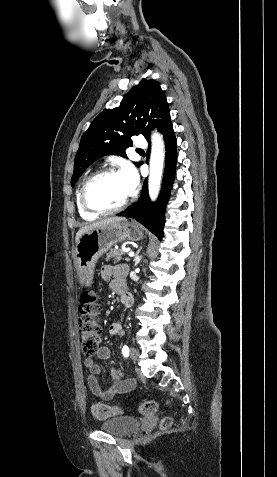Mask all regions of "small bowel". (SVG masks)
Returning <instances> with one entry per match:
<instances>
[{"instance_id":"c3829d8e","label":"small bowel","mask_w":277,"mask_h":477,"mask_svg":"<svg viewBox=\"0 0 277 477\" xmlns=\"http://www.w3.org/2000/svg\"><path fill=\"white\" fill-rule=\"evenodd\" d=\"M127 266L119 265H103L101 267V277L108 281L110 286L116 292L125 293V277L127 274ZM109 333L112 337H120L124 334L122 326L114 322L109 327ZM110 349L106 346L98 348L94 357L84 359V366L87 368L89 375L87 377V385L93 396L101 400H111L114 396L124 394L131 391L135 386V381L131 378H125L123 372L118 367H112L108 373L111 375L112 381L106 390H103L97 376L101 373V366L96 361H103L110 358Z\"/></svg>"}]
</instances>
